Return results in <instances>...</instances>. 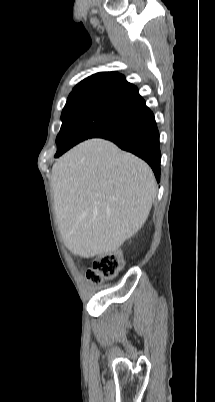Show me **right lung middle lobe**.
Wrapping results in <instances>:
<instances>
[{"label":"right lung middle lobe","mask_w":215,"mask_h":402,"mask_svg":"<svg viewBox=\"0 0 215 402\" xmlns=\"http://www.w3.org/2000/svg\"><path fill=\"white\" fill-rule=\"evenodd\" d=\"M145 106L106 94L70 95L61 115L55 157L86 139L105 138L117 133Z\"/></svg>","instance_id":"1"}]
</instances>
